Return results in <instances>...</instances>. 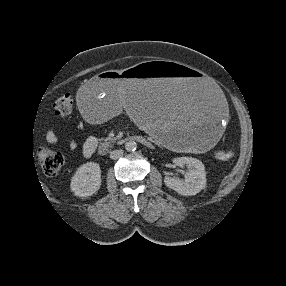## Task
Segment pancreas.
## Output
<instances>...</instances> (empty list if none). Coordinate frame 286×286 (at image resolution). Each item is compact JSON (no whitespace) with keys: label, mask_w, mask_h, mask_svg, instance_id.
<instances>
[{"label":"pancreas","mask_w":286,"mask_h":286,"mask_svg":"<svg viewBox=\"0 0 286 286\" xmlns=\"http://www.w3.org/2000/svg\"><path fill=\"white\" fill-rule=\"evenodd\" d=\"M105 140H106V141H114V140H116V137H108V138H106Z\"/></svg>","instance_id":"cf45deb5"}]
</instances>
